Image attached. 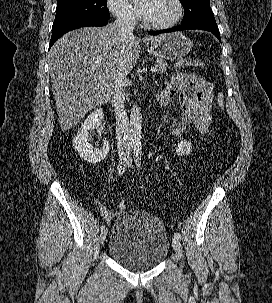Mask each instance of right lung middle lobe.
I'll use <instances>...</instances> for the list:
<instances>
[{
  "label": "right lung middle lobe",
  "instance_id": "right-lung-middle-lobe-1",
  "mask_svg": "<svg viewBox=\"0 0 272 303\" xmlns=\"http://www.w3.org/2000/svg\"><path fill=\"white\" fill-rule=\"evenodd\" d=\"M110 18L106 0H58L52 27L74 20Z\"/></svg>",
  "mask_w": 272,
  "mask_h": 303
}]
</instances>
